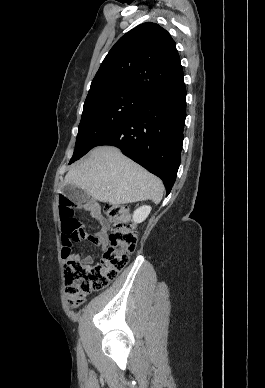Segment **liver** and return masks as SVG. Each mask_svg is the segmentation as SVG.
Segmentation results:
<instances>
[{
    "instance_id": "liver-1",
    "label": "liver",
    "mask_w": 265,
    "mask_h": 388,
    "mask_svg": "<svg viewBox=\"0 0 265 388\" xmlns=\"http://www.w3.org/2000/svg\"><path fill=\"white\" fill-rule=\"evenodd\" d=\"M74 184L94 200L108 204H130L152 200L159 204L164 186L156 176L126 158L118 148L98 146L89 158L69 170L63 186Z\"/></svg>"
}]
</instances>
